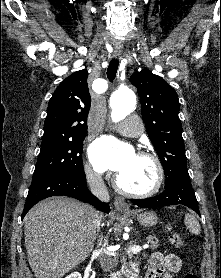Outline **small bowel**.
Wrapping results in <instances>:
<instances>
[{"mask_svg":"<svg viewBox=\"0 0 221 278\" xmlns=\"http://www.w3.org/2000/svg\"><path fill=\"white\" fill-rule=\"evenodd\" d=\"M181 267L182 262L177 255L156 252L150 258L146 278H176Z\"/></svg>","mask_w":221,"mask_h":278,"instance_id":"small-bowel-1","label":"small bowel"}]
</instances>
